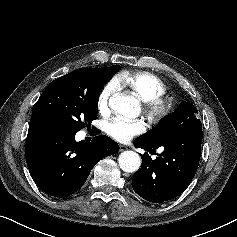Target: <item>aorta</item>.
<instances>
[{
  "mask_svg": "<svg viewBox=\"0 0 237 237\" xmlns=\"http://www.w3.org/2000/svg\"><path fill=\"white\" fill-rule=\"evenodd\" d=\"M109 105L113 111L125 117L135 118L139 115V103L133 96L116 93L110 98ZM118 163L123 171L132 173L140 168L141 158L134 151H124L119 155Z\"/></svg>",
  "mask_w": 237,
  "mask_h": 237,
  "instance_id": "762f6f07",
  "label": "aorta"
}]
</instances>
